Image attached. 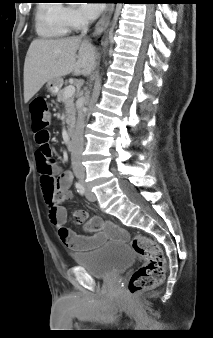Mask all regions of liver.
<instances>
[{
  "label": "liver",
  "instance_id": "liver-1",
  "mask_svg": "<svg viewBox=\"0 0 213 338\" xmlns=\"http://www.w3.org/2000/svg\"><path fill=\"white\" fill-rule=\"evenodd\" d=\"M94 67L95 48L88 40L36 39L29 46L24 63V102L46 82L70 73L89 76Z\"/></svg>",
  "mask_w": 213,
  "mask_h": 338
}]
</instances>
